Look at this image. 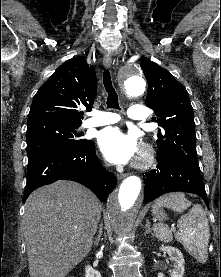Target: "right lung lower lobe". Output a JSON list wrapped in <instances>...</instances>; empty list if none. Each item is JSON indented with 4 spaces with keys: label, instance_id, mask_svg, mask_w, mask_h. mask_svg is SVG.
I'll use <instances>...</instances> for the list:
<instances>
[{
    "label": "right lung lower lobe",
    "instance_id": "1",
    "mask_svg": "<svg viewBox=\"0 0 221 277\" xmlns=\"http://www.w3.org/2000/svg\"><path fill=\"white\" fill-rule=\"evenodd\" d=\"M60 179L88 187L102 202L117 184L115 175L107 171L96 156L94 142L87 140L67 152L45 156L28 164L24 202L36 188Z\"/></svg>",
    "mask_w": 221,
    "mask_h": 277
}]
</instances>
